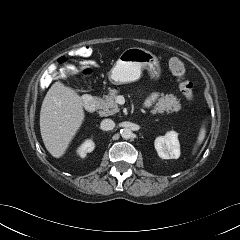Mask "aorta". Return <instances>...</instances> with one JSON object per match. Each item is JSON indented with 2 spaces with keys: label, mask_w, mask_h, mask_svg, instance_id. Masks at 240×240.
<instances>
[{
  "label": "aorta",
  "mask_w": 240,
  "mask_h": 240,
  "mask_svg": "<svg viewBox=\"0 0 240 240\" xmlns=\"http://www.w3.org/2000/svg\"><path fill=\"white\" fill-rule=\"evenodd\" d=\"M133 133L131 129L129 128H124L121 130V136L123 139H130L132 137Z\"/></svg>",
  "instance_id": "aorta-1"
}]
</instances>
